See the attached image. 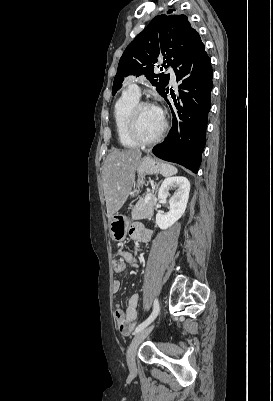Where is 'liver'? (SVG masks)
<instances>
[{
    "instance_id": "obj_1",
    "label": "liver",
    "mask_w": 273,
    "mask_h": 401,
    "mask_svg": "<svg viewBox=\"0 0 273 401\" xmlns=\"http://www.w3.org/2000/svg\"><path fill=\"white\" fill-rule=\"evenodd\" d=\"M141 154V150L113 148L106 156L103 166V190L108 219L127 201Z\"/></svg>"
}]
</instances>
